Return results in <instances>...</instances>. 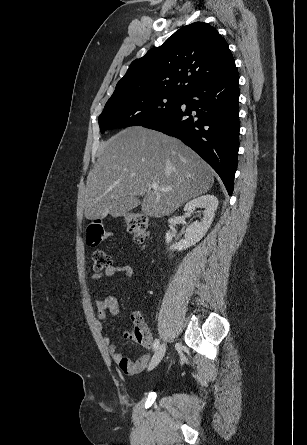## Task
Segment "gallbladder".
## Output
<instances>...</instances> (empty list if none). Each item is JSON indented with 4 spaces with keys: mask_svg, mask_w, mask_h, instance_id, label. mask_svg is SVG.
<instances>
[{
    "mask_svg": "<svg viewBox=\"0 0 307 445\" xmlns=\"http://www.w3.org/2000/svg\"><path fill=\"white\" fill-rule=\"evenodd\" d=\"M141 203L142 200L138 196L124 195L122 196L120 203L116 204V211H113L111 216L113 218H118L120 216V212H129L133 209L137 210L139 209ZM122 216H125V213H122Z\"/></svg>",
    "mask_w": 307,
    "mask_h": 445,
    "instance_id": "1",
    "label": "gallbladder"
}]
</instances>
